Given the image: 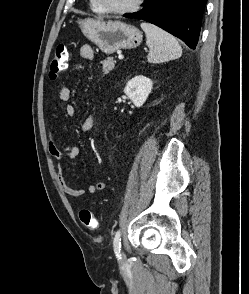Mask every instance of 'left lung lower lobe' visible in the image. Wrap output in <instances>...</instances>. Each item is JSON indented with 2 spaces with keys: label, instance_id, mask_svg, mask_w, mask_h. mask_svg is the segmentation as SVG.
Listing matches in <instances>:
<instances>
[{
  "label": "left lung lower lobe",
  "instance_id": "1",
  "mask_svg": "<svg viewBox=\"0 0 249 294\" xmlns=\"http://www.w3.org/2000/svg\"><path fill=\"white\" fill-rule=\"evenodd\" d=\"M207 0H145V7L127 18L143 19L183 40L195 49Z\"/></svg>",
  "mask_w": 249,
  "mask_h": 294
}]
</instances>
